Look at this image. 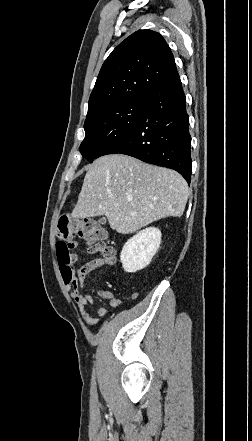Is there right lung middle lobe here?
<instances>
[{"label":"right lung middle lobe","instance_id":"obj_1","mask_svg":"<svg viewBox=\"0 0 252 441\" xmlns=\"http://www.w3.org/2000/svg\"><path fill=\"white\" fill-rule=\"evenodd\" d=\"M143 110V101L139 98L108 107L86 118V135L80 145L81 154L89 162L105 155L133 129Z\"/></svg>","mask_w":252,"mask_h":441}]
</instances>
